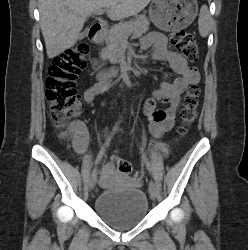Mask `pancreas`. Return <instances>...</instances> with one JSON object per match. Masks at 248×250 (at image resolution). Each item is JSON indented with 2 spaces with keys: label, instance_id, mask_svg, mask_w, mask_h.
<instances>
[{
  "label": "pancreas",
  "instance_id": "obj_1",
  "mask_svg": "<svg viewBox=\"0 0 248 250\" xmlns=\"http://www.w3.org/2000/svg\"><path fill=\"white\" fill-rule=\"evenodd\" d=\"M150 22L145 15H140L128 22L111 27L106 32L107 46L102 49L100 57L110 63H117L120 57V47L124 39L129 35L141 36L149 30Z\"/></svg>",
  "mask_w": 248,
  "mask_h": 250
}]
</instances>
